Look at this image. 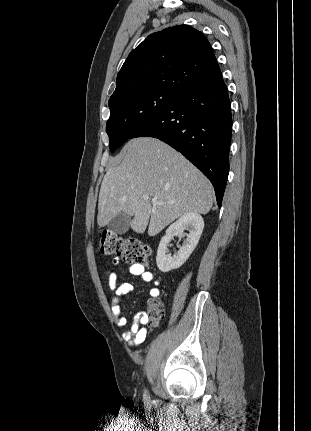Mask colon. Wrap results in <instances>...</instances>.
Listing matches in <instances>:
<instances>
[{"label":"colon","mask_w":311,"mask_h":431,"mask_svg":"<svg viewBox=\"0 0 311 431\" xmlns=\"http://www.w3.org/2000/svg\"><path fill=\"white\" fill-rule=\"evenodd\" d=\"M99 251L104 255H115L128 263L148 265L151 248L134 238H122L111 230L99 232ZM164 316V304L160 298L154 297L147 303L145 323L148 329L157 326Z\"/></svg>","instance_id":"1"}]
</instances>
